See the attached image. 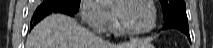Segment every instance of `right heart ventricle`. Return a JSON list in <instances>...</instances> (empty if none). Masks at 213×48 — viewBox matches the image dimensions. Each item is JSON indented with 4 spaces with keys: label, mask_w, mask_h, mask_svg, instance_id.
I'll use <instances>...</instances> for the list:
<instances>
[{
    "label": "right heart ventricle",
    "mask_w": 213,
    "mask_h": 48,
    "mask_svg": "<svg viewBox=\"0 0 213 48\" xmlns=\"http://www.w3.org/2000/svg\"><path fill=\"white\" fill-rule=\"evenodd\" d=\"M110 31H112L115 35H122L123 34V32L119 28L116 20L112 23V25L110 27Z\"/></svg>",
    "instance_id": "obj_1"
}]
</instances>
